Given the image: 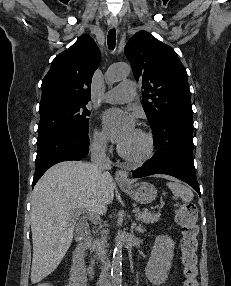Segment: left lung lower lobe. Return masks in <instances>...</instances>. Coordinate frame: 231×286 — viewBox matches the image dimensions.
I'll list each match as a JSON object with an SVG mask.
<instances>
[{"instance_id": "obj_1", "label": "left lung lower lobe", "mask_w": 231, "mask_h": 286, "mask_svg": "<svg viewBox=\"0 0 231 286\" xmlns=\"http://www.w3.org/2000/svg\"><path fill=\"white\" fill-rule=\"evenodd\" d=\"M152 133L156 152L142 167L132 171L133 177L168 174L188 183L200 194L193 162L192 117L169 115L156 124Z\"/></svg>"}]
</instances>
